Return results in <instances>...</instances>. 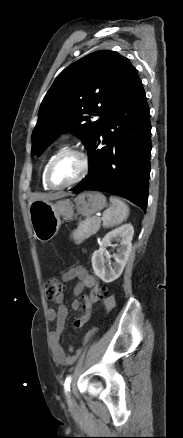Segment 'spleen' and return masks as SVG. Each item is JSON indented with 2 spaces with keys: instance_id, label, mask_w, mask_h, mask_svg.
<instances>
[{
  "instance_id": "3e777b00",
  "label": "spleen",
  "mask_w": 183,
  "mask_h": 438,
  "mask_svg": "<svg viewBox=\"0 0 183 438\" xmlns=\"http://www.w3.org/2000/svg\"><path fill=\"white\" fill-rule=\"evenodd\" d=\"M111 206L103 212V226L113 227L124 222L129 215V207L117 197H110Z\"/></svg>"
}]
</instances>
